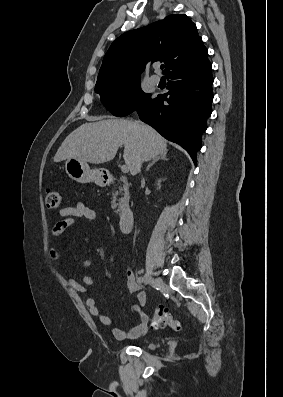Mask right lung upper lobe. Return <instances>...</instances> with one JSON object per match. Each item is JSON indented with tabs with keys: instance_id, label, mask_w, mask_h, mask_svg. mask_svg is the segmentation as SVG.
I'll return each instance as SVG.
<instances>
[{
	"instance_id": "right-lung-upper-lobe-1",
	"label": "right lung upper lobe",
	"mask_w": 283,
	"mask_h": 397,
	"mask_svg": "<svg viewBox=\"0 0 283 397\" xmlns=\"http://www.w3.org/2000/svg\"><path fill=\"white\" fill-rule=\"evenodd\" d=\"M208 57L196 25L184 14L169 15L118 37L104 56L97 81L140 77L146 63L164 60L167 75Z\"/></svg>"
}]
</instances>
